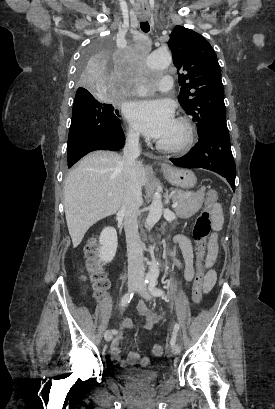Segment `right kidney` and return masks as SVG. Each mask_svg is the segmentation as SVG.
Instances as JSON below:
<instances>
[{
	"mask_svg": "<svg viewBox=\"0 0 275 409\" xmlns=\"http://www.w3.org/2000/svg\"><path fill=\"white\" fill-rule=\"evenodd\" d=\"M99 243L102 245L99 249L100 261L103 263H111L117 251V233L113 227H105L100 237Z\"/></svg>",
	"mask_w": 275,
	"mask_h": 409,
	"instance_id": "obj_1",
	"label": "right kidney"
}]
</instances>
